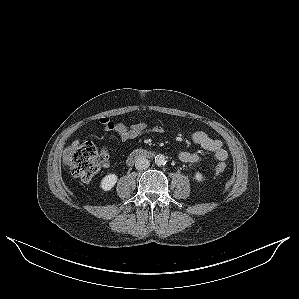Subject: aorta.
Segmentation results:
<instances>
[{"mask_svg": "<svg viewBox=\"0 0 299 299\" xmlns=\"http://www.w3.org/2000/svg\"><path fill=\"white\" fill-rule=\"evenodd\" d=\"M155 163H156L158 166L165 165V164H166L165 156H164V155H157V156L155 157Z\"/></svg>", "mask_w": 299, "mask_h": 299, "instance_id": "762f6f07", "label": "aorta"}]
</instances>
